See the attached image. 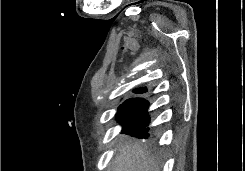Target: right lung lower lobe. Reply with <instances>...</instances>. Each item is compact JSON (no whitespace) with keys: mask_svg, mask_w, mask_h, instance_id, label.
Segmentation results:
<instances>
[{"mask_svg":"<svg viewBox=\"0 0 245 171\" xmlns=\"http://www.w3.org/2000/svg\"><path fill=\"white\" fill-rule=\"evenodd\" d=\"M148 102L145 99L134 98L124 102L118 109L116 117L122 125V133L147 138L150 118L147 112Z\"/></svg>","mask_w":245,"mask_h":171,"instance_id":"obj_1","label":"right lung lower lobe"}]
</instances>
